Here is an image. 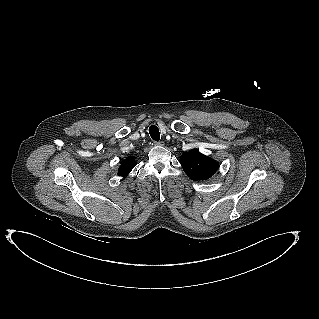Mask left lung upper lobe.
<instances>
[{
	"mask_svg": "<svg viewBox=\"0 0 319 319\" xmlns=\"http://www.w3.org/2000/svg\"><path fill=\"white\" fill-rule=\"evenodd\" d=\"M180 163L185 173L194 180H206L210 178L219 167L218 162L201 154L197 150L184 152L180 157Z\"/></svg>",
	"mask_w": 319,
	"mask_h": 319,
	"instance_id": "obj_1",
	"label": "left lung upper lobe"
}]
</instances>
